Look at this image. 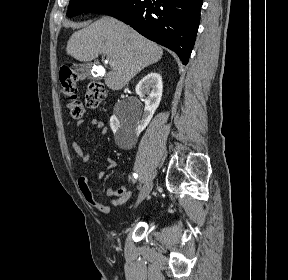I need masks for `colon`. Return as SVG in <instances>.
I'll return each mask as SVG.
<instances>
[{
  "mask_svg": "<svg viewBox=\"0 0 288 280\" xmlns=\"http://www.w3.org/2000/svg\"><path fill=\"white\" fill-rule=\"evenodd\" d=\"M81 77L68 67H63L59 73L60 83L64 94L69 98L67 105L69 113L74 119H81L84 106L78 99L77 82ZM105 98L104 85L97 81H89L85 92V105L90 109L97 108Z\"/></svg>",
  "mask_w": 288,
  "mask_h": 280,
  "instance_id": "1",
  "label": "colon"
}]
</instances>
